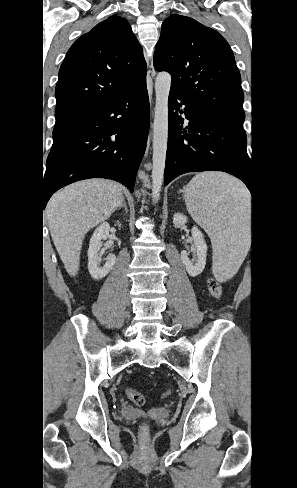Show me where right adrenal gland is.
Masks as SVG:
<instances>
[{"mask_svg": "<svg viewBox=\"0 0 297 488\" xmlns=\"http://www.w3.org/2000/svg\"><path fill=\"white\" fill-rule=\"evenodd\" d=\"M121 208H124L126 213H128V208L124 198H123V202L119 205L118 210H120Z\"/></svg>", "mask_w": 297, "mask_h": 488, "instance_id": "1", "label": "right adrenal gland"}]
</instances>
